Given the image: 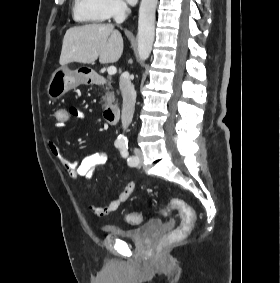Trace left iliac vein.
Instances as JSON below:
<instances>
[{
  "mask_svg": "<svg viewBox=\"0 0 280 283\" xmlns=\"http://www.w3.org/2000/svg\"><path fill=\"white\" fill-rule=\"evenodd\" d=\"M134 154L137 157V163L135 164L136 166L140 167L142 164V153L139 149L134 150Z\"/></svg>",
  "mask_w": 280,
  "mask_h": 283,
  "instance_id": "left-iliac-vein-1",
  "label": "left iliac vein"
}]
</instances>
